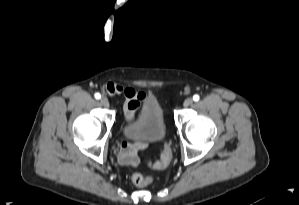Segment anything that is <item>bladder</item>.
Returning a JSON list of instances; mask_svg holds the SVG:
<instances>
[{
  "mask_svg": "<svg viewBox=\"0 0 299 205\" xmlns=\"http://www.w3.org/2000/svg\"><path fill=\"white\" fill-rule=\"evenodd\" d=\"M125 138L144 143H156L166 138L168 126L164 110L155 96H148L135 118L122 126Z\"/></svg>",
  "mask_w": 299,
  "mask_h": 205,
  "instance_id": "1",
  "label": "bladder"
}]
</instances>
